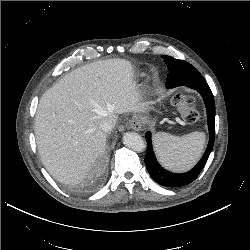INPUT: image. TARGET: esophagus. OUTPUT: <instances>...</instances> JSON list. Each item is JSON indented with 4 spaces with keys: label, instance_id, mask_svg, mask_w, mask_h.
I'll use <instances>...</instances> for the list:
<instances>
[{
    "label": "esophagus",
    "instance_id": "obj_1",
    "mask_svg": "<svg viewBox=\"0 0 250 250\" xmlns=\"http://www.w3.org/2000/svg\"><path fill=\"white\" fill-rule=\"evenodd\" d=\"M129 125L135 131H140L142 129V126H143L141 121L137 117H132L129 120Z\"/></svg>",
    "mask_w": 250,
    "mask_h": 250
}]
</instances>
